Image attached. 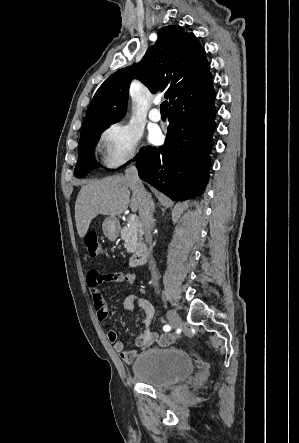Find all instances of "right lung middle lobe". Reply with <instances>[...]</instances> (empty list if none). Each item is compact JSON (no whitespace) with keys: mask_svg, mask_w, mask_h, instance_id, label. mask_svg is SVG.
<instances>
[{"mask_svg":"<svg viewBox=\"0 0 299 443\" xmlns=\"http://www.w3.org/2000/svg\"><path fill=\"white\" fill-rule=\"evenodd\" d=\"M110 125H106L97 129H94L81 136L78 145V162L74 170L76 177H82L87 175L93 169L99 167V164L94 158L95 146L101 136V133ZM137 157V156H136ZM136 159V158H135ZM129 161L128 163H130ZM127 163V164H128ZM125 164V165H127ZM123 165L122 167H124ZM120 167V168H122ZM109 171H114L110 170Z\"/></svg>","mask_w":299,"mask_h":443,"instance_id":"dd1d6c3e","label":"right lung middle lobe"}]
</instances>
